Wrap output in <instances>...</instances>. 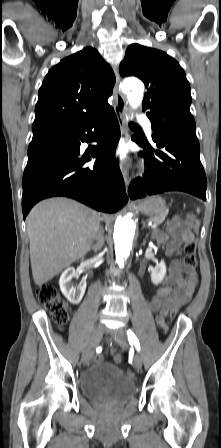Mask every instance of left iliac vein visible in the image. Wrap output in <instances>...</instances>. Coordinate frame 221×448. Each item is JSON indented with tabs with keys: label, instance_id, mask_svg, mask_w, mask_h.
I'll return each mask as SVG.
<instances>
[{
	"label": "left iliac vein",
	"instance_id": "4c4485c4",
	"mask_svg": "<svg viewBox=\"0 0 221 448\" xmlns=\"http://www.w3.org/2000/svg\"><path fill=\"white\" fill-rule=\"evenodd\" d=\"M113 335H114L116 341L118 342V344L120 345V347L122 349L125 350V349L128 348V340H127L126 334L123 331V329H118L116 332L113 333ZM133 364H134L136 369H138V370L141 369V367H142V358H141V356L139 354H136L134 356Z\"/></svg>",
	"mask_w": 221,
	"mask_h": 448
}]
</instances>
